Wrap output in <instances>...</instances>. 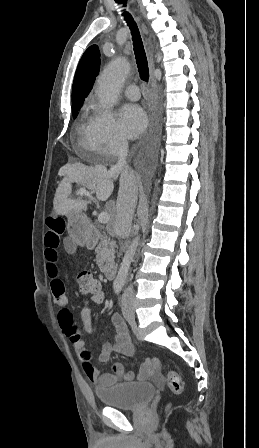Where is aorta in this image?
<instances>
[{
  "label": "aorta",
  "mask_w": 259,
  "mask_h": 448,
  "mask_svg": "<svg viewBox=\"0 0 259 448\" xmlns=\"http://www.w3.org/2000/svg\"><path fill=\"white\" fill-rule=\"evenodd\" d=\"M130 65L125 58H117L103 70L97 81L96 95L102 107L112 108L119 97L120 89L129 73ZM140 237L136 236L128 247L120 264L115 283L123 286L127 280Z\"/></svg>",
  "instance_id": "obj_1"
}]
</instances>
